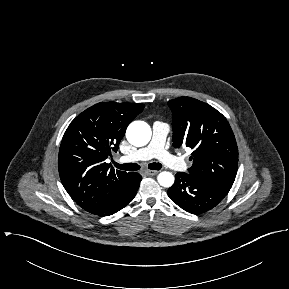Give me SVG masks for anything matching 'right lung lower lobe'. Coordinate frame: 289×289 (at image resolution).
<instances>
[{
  "instance_id": "98d812e1",
  "label": "right lung lower lobe",
  "mask_w": 289,
  "mask_h": 289,
  "mask_svg": "<svg viewBox=\"0 0 289 289\" xmlns=\"http://www.w3.org/2000/svg\"><path fill=\"white\" fill-rule=\"evenodd\" d=\"M141 180L142 177L140 174L132 172L126 188L95 214L99 216H109L124 208L135 197Z\"/></svg>"
}]
</instances>
